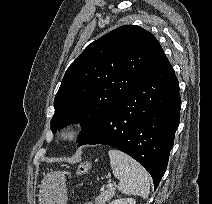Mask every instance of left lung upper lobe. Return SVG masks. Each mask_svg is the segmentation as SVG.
Returning a JSON list of instances; mask_svg holds the SVG:
<instances>
[{"instance_id":"obj_1","label":"left lung upper lobe","mask_w":212,"mask_h":204,"mask_svg":"<svg viewBox=\"0 0 212 204\" xmlns=\"http://www.w3.org/2000/svg\"><path fill=\"white\" fill-rule=\"evenodd\" d=\"M165 58L157 39L136 25L118 27L92 42L64 75L54 99L52 132L80 123L81 142Z\"/></svg>"}]
</instances>
